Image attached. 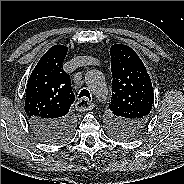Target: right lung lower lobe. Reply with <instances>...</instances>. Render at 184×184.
Instances as JSON below:
<instances>
[{"label": "right lung lower lobe", "instance_id": "right-lung-lower-lobe-1", "mask_svg": "<svg viewBox=\"0 0 184 184\" xmlns=\"http://www.w3.org/2000/svg\"><path fill=\"white\" fill-rule=\"evenodd\" d=\"M29 123L39 139L46 143H52L56 137L65 134V132L74 127V120L71 115L56 122L33 119L29 120Z\"/></svg>", "mask_w": 184, "mask_h": 184}]
</instances>
